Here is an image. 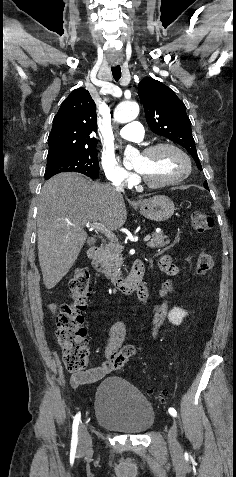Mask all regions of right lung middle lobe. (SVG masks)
<instances>
[{
    "instance_id": "obj_1",
    "label": "right lung middle lobe",
    "mask_w": 236,
    "mask_h": 477,
    "mask_svg": "<svg viewBox=\"0 0 236 477\" xmlns=\"http://www.w3.org/2000/svg\"><path fill=\"white\" fill-rule=\"evenodd\" d=\"M62 172H78L93 179L98 178L99 162L96 145L81 148L75 153L63 157L47 160L46 179Z\"/></svg>"
}]
</instances>
